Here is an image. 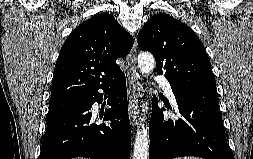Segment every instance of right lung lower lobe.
Wrapping results in <instances>:
<instances>
[{
  "label": "right lung lower lobe",
  "mask_w": 253,
  "mask_h": 159,
  "mask_svg": "<svg viewBox=\"0 0 253 159\" xmlns=\"http://www.w3.org/2000/svg\"><path fill=\"white\" fill-rule=\"evenodd\" d=\"M109 94L111 109L100 111L110 123L94 122L92 105L101 103L98 89L75 106L47 120L38 159H129L131 128L128 116L126 79L123 72L109 84L100 87Z\"/></svg>",
  "instance_id": "right-lung-lower-lobe-1"
}]
</instances>
